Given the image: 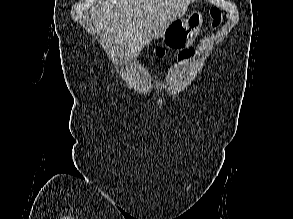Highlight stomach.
Segmentation results:
<instances>
[{"instance_id":"obj_1","label":"stomach","mask_w":293,"mask_h":219,"mask_svg":"<svg viewBox=\"0 0 293 219\" xmlns=\"http://www.w3.org/2000/svg\"><path fill=\"white\" fill-rule=\"evenodd\" d=\"M203 16L199 11H192L186 20L176 18L163 32L162 38L166 46L181 50L188 47L200 32Z\"/></svg>"}]
</instances>
